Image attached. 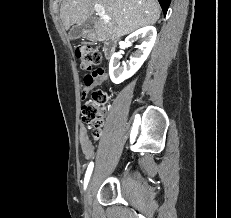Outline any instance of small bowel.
Wrapping results in <instances>:
<instances>
[{"mask_svg": "<svg viewBox=\"0 0 231 218\" xmlns=\"http://www.w3.org/2000/svg\"><path fill=\"white\" fill-rule=\"evenodd\" d=\"M89 74L84 77L82 86V97L85 98L88 92L96 86L107 81L108 76L102 69H89ZM79 145L85 159H90L94 155L95 146L88 136L87 128L84 124L79 125Z\"/></svg>", "mask_w": 231, "mask_h": 218, "instance_id": "1", "label": "small bowel"}]
</instances>
